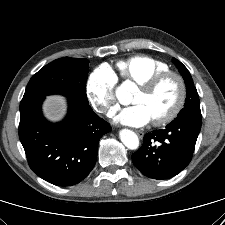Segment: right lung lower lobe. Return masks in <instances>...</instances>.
<instances>
[{
    "instance_id": "right-lung-lower-lobe-1",
    "label": "right lung lower lobe",
    "mask_w": 225,
    "mask_h": 225,
    "mask_svg": "<svg viewBox=\"0 0 225 225\" xmlns=\"http://www.w3.org/2000/svg\"><path fill=\"white\" fill-rule=\"evenodd\" d=\"M45 96H30L20 103L19 138L30 168L57 186L81 182L93 169L100 138L111 130L89 105L69 99V112L57 124L41 113Z\"/></svg>"
}]
</instances>
